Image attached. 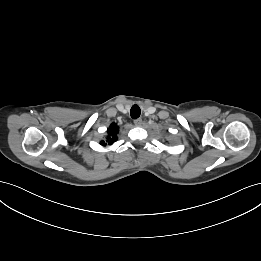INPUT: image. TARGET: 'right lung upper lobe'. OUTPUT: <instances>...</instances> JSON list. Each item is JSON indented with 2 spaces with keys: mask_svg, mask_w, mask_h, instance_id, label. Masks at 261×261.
Returning a JSON list of instances; mask_svg holds the SVG:
<instances>
[{
  "mask_svg": "<svg viewBox=\"0 0 261 261\" xmlns=\"http://www.w3.org/2000/svg\"><path fill=\"white\" fill-rule=\"evenodd\" d=\"M117 133H118V126L116 123H113L110 125L109 129H108V136H107V140L106 143L105 141H101V145H111L114 143V141L117 140Z\"/></svg>",
  "mask_w": 261,
  "mask_h": 261,
  "instance_id": "cb5924a9",
  "label": "right lung upper lobe"
}]
</instances>
